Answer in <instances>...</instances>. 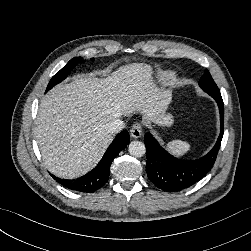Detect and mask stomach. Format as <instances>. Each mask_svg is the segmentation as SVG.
I'll list each match as a JSON object with an SVG mask.
<instances>
[{"label": "stomach", "instance_id": "1", "mask_svg": "<svg viewBox=\"0 0 251 251\" xmlns=\"http://www.w3.org/2000/svg\"><path fill=\"white\" fill-rule=\"evenodd\" d=\"M173 116L171 114H164L159 122L161 126H171L173 124Z\"/></svg>", "mask_w": 251, "mask_h": 251}]
</instances>
